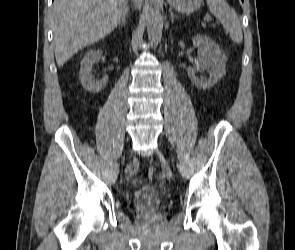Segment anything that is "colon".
I'll list each match as a JSON object with an SVG mask.
<instances>
[{"instance_id":"1","label":"colon","mask_w":295,"mask_h":250,"mask_svg":"<svg viewBox=\"0 0 295 250\" xmlns=\"http://www.w3.org/2000/svg\"><path fill=\"white\" fill-rule=\"evenodd\" d=\"M154 175H155V169L153 168V167H150L149 169H148V172H147V176H148V178H153L154 177Z\"/></svg>"}]
</instances>
